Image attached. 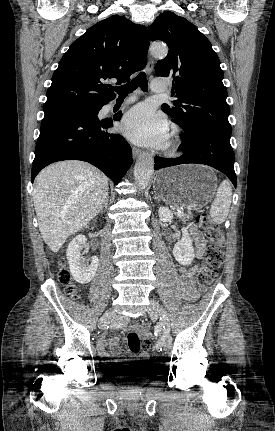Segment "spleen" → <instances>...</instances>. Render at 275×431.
<instances>
[{"label":"spleen","mask_w":275,"mask_h":431,"mask_svg":"<svg viewBox=\"0 0 275 431\" xmlns=\"http://www.w3.org/2000/svg\"><path fill=\"white\" fill-rule=\"evenodd\" d=\"M232 189L228 181H223L217 189L216 197L210 208V216L216 224L223 223L229 213Z\"/></svg>","instance_id":"1"}]
</instances>
